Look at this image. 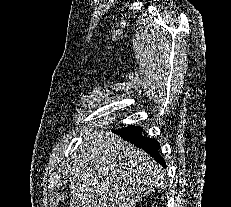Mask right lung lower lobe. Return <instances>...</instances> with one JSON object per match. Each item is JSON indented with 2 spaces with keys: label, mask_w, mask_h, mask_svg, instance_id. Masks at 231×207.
<instances>
[{
  "label": "right lung lower lobe",
  "mask_w": 231,
  "mask_h": 207,
  "mask_svg": "<svg viewBox=\"0 0 231 207\" xmlns=\"http://www.w3.org/2000/svg\"><path fill=\"white\" fill-rule=\"evenodd\" d=\"M114 133H117L125 140L134 144L136 147H139L150 154L159 164L165 167V161L159 154L160 145L155 139H149L142 135V128L139 126L130 125L126 128L114 130Z\"/></svg>",
  "instance_id": "98d812e1"
}]
</instances>
